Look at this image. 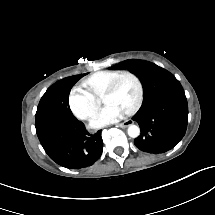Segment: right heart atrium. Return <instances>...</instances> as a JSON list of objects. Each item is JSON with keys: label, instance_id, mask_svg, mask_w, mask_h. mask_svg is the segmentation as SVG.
<instances>
[{"label": "right heart atrium", "instance_id": "right-heart-atrium-1", "mask_svg": "<svg viewBox=\"0 0 215 215\" xmlns=\"http://www.w3.org/2000/svg\"><path fill=\"white\" fill-rule=\"evenodd\" d=\"M69 105L74 114L82 119H91L97 110V103L89 96L82 93L77 87L71 90Z\"/></svg>", "mask_w": 215, "mask_h": 215}]
</instances>
